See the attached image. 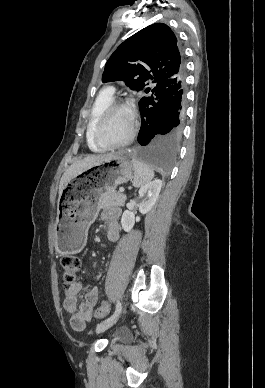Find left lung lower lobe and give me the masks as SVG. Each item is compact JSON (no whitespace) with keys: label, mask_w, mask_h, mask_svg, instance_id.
I'll list each match as a JSON object with an SVG mask.
<instances>
[{"label":"left lung lower lobe","mask_w":265,"mask_h":388,"mask_svg":"<svg viewBox=\"0 0 265 388\" xmlns=\"http://www.w3.org/2000/svg\"><path fill=\"white\" fill-rule=\"evenodd\" d=\"M141 128L136 155L161 170L169 171L178 150L185 115V72L158 84L139 101Z\"/></svg>","instance_id":"1"}]
</instances>
